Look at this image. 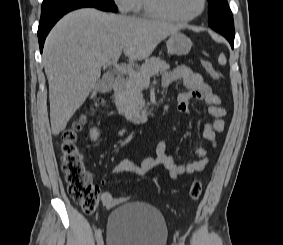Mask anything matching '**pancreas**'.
I'll return each mask as SVG.
<instances>
[{"instance_id": "1", "label": "pancreas", "mask_w": 283, "mask_h": 245, "mask_svg": "<svg viewBox=\"0 0 283 245\" xmlns=\"http://www.w3.org/2000/svg\"><path fill=\"white\" fill-rule=\"evenodd\" d=\"M170 69L169 64L160 58L151 57L138 70V76L127 78L125 88L118 97L117 108L120 114L127 120H135L145 112V100L143 99L144 77H150L163 73Z\"/></svg>"}]
</instances>
